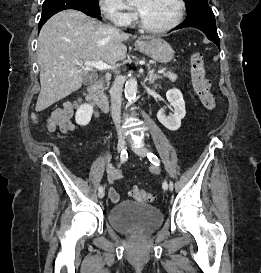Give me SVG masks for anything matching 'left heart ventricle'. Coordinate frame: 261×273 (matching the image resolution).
Returning a JSON list of instances; mask_svg holds the SVG:
<instances>
[{"label": "left heart ventricle", "instance_id": "b2bd125f", "mask_svg": "<svg viewBox=\"0 0 261 273\" xmlns=\"http://www.w3.org/2000/svg\"><path fill=\"white\" fill-rule=\"evenodd\" d=\"M134 6L153 27H163L172 23L179 12L176 0H136Z\"/></svg>", "mask_w": 261, "mask_h": 273}]
</instances>
